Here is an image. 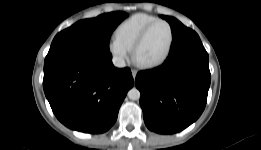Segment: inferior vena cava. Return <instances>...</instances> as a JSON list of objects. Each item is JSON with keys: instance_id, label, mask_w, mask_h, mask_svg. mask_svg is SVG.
<instances>
[{"instance_id": "inferior-vena-cava-1", "label": "inferior vena cava", "mask_w": 261, "mask_h": 150, "mask_svg": "<svg viewBox=\"0 0 261 150\" xmlns=\"http://www.w3.org/2000/svg\"><path fill=\"white\" fill-rule=\"evenodd\" d=\"M112 62L115 67L123 68L126 66L125 60L122 57H113Z\"/></svg>"}]
</instances>
